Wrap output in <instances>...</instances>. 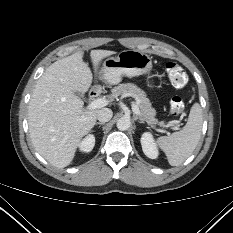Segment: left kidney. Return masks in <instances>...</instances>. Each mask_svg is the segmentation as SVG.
<instances>
[{
	"mask_svg": "<svg viewBox=\"0 0 233 233\" xmlns=\"http://www.w3.org/2000/svg\"><path fill=\"white\" fill-rule=\"evenodd\" d=\"M141 145L144 154L151 159H156L159 155L156 143L154 142L153 136L149 132L143 133L141 137Z\"/></svg>",
	"mask_w": 233,
	"mask_h": 233,
	"instance_id": "left-kidney-1",
	"label": "left kidney"
}]
</instances>
